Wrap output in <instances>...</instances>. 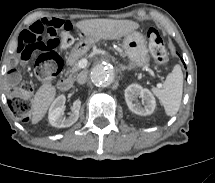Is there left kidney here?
<instances>
[{
  "label": "left kidney",
  "mask_w": 215,
  "mask_h": 183,
  "mask_svg": "<svg viewBox=\"0 0 215 183\" xmlns=\"http://www.w3.org/2000/svg\"><path fill=\"white\" fill-rule=\"evenodd\" d=\"M125 100L129 109L135 114L147 116L153 113L156 107V101L153 94L138 84H131L125 89ZM137 97H140L144 103L142 107L137 102Z\"/></svg>",
  "instance_id": "left-kidney-1"
}]
</instances>
